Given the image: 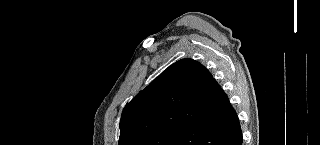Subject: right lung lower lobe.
<instances>
[{
	"instance_id": "obj_1",
	"label": "right lung lower lobe",
	"mask_w": 320,
	"mask_h": 145,
	"mask_svg": "<svg viewBox=\"0 0 320 145\" xmlns=\"http://www.w3.org/2000/svg\"><path fill=\"white\" fill-rule=\"evenodd\" d=\"M222 97L213 116L182 129L168 145H242L238 116L224 92Z\"/></svg>"
}]
</instances>
